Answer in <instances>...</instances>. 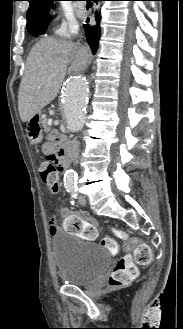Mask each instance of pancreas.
Wrapping results in <instances>:
<instances>
[{
  "label": "pancreas",
  "mask_w": 183,
  "mask_h": 329,
  "mask_svg": "<svg viewBox=\"0 0 183 329\" xmlns=\"http://www.w3.org/2000/svg\"><path fill=\"white\" fill-rule=\"evenodd\" d=\"M41 124H42V127L44 128L45 132H49L51 130L50 127L48 126L47 118H42Z\"/></svg>",
  "instance_id": "obj_1"
}]
</instances>
